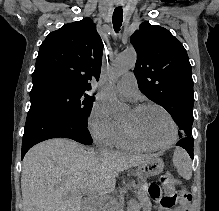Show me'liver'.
Listing matches in <instances>:
<instances>
[{
    "label": "liver",
    "mask_w": 219,
    "mask_h": 211,
    "mask_svg": "<svg viewBox=\"0 0 219 211\" xmlns=\"http://www.w3.org/2000/svg\"><path fill=\"white\" fill-rule=\"evenodd\" d=\"M149 155L84 149L68 137H53L27 151L23 159V211H95L103 193L115 187L120 171ZM82 193L88 195L82 201Z\"/></svg>",
    "instance_id": "obj_1"
}]
</instances>
